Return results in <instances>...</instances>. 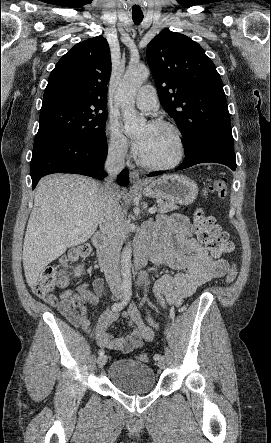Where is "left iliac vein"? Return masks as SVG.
Here are the masks:
<instances>
[{"label":"left iliac vein","instance_id":"1","mask_svg":"<svg viewBox=\"0 0 271 443\" xmlns=\"http://www.w3.org/2000/svg\"><path fill=\"white\" fill-rule=\"evenodd\" d=\"M165 365H166V359L164 356H161L158 361V366H159V368L164 369Z\"/></svg>","mask_w":271,"mask_h":443}]
</instances>
